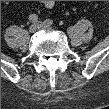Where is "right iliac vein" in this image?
<instances>
[{"label":"right iliac vein","instance_id":"obj_1","mask_svg":"<svg viewBox=\"0 0 109 109\" xmlns=\"http://www.w3.org/2000/svg\"><path fill=\"white\" fill-rule=\"evenodd\" d=\"M38 29H39V27H38L37 24H32V25L29 27V32H30V33H35Z\"/></svg>","mask_w":109,"mask_h":109}]
</instances>
